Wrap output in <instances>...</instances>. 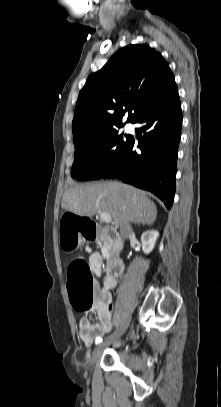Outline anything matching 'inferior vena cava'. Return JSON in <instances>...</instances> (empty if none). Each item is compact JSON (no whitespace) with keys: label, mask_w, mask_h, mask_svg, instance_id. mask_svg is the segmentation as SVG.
<instances>
[{"label":"inferior vena cava","mask_w":221,"mask_h":407,"mask_svg":"<svg viewBox=\"0 0 221 407\" xmlns=\"http://www.w3.org/2000/svg\"><path fill=\"white\" fill-rule=\"evenodd\" d=\"M132 227L128 221H124L120 226V234L123 238H127L132 234Z\"/></svg>","instance_id":"obj_1"}]
</instances>
